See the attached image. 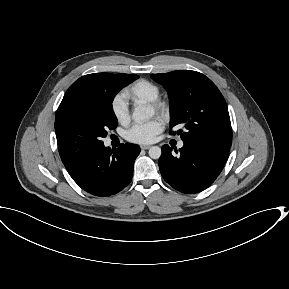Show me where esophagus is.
<instances>
[{
	"label": "esophagus",
	"instance_id": "esophagus-1",
	"mask_svg": "<svg viewBox=\"0 0 289 289\" xmlns=\"http://www.w3.org/2000/svg\"><path fill=\"white\" fill-rule=\"evenodd\" d=\"M151 146L150 145H141L140 146V148L142 149V150H147V149H149Z\"/></svg>",
	"mask_w": 289,
	"mask_h": 289
}]
</instances>
